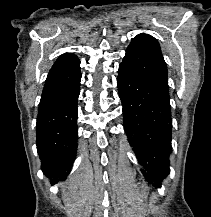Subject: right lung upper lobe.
<instances>
[{
	"instance_id": "right-lung-upper-lobe-1",
	"label": "right lung upper lobe",
	"mask_w": 211,
	"mask_h": 217,
	"mask_svg": "<svg viewBox=\"0 0 211 217\" xmlns=\"http://www.w3.org/2000/svg\"><path fill=\"white\" fill-rule=\"evenodd\" d=\"M80 72V61L73 53L62 54L52 66L45 81L44 91L71 82Z\"/></svg>"
}]
</instances>
